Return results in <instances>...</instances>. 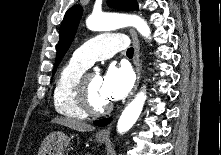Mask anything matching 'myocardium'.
Instances as JSON below:
<instances>
[{
	"label": "myocardium",
	"mask_w": 221,
	"mask_h": 155,
	"mask_svg": "<svg viewBox=\"0 0 221 155\" xmlns=\"http://www.w3.org/2000/svg\"><path fill=\"white\" fill-rule=\"evenodd\" d=\"M92 72H84L75 86V98L79 107L87 114L101 116L107 114L112 109V104L108 103L102 108L93 105L89 93V78Z\"/></svg>",
	"instance_id": "myocardium-1"
}]
</instances>
